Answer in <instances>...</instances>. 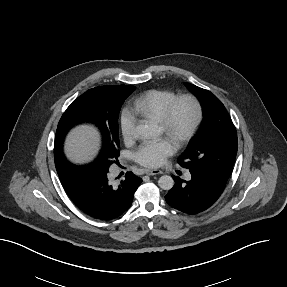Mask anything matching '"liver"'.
<instances>
[{
    "mask_svg": "<svg viewBox=\"0 0 287 287\" xmlns=\"http://www.w3.org/2000/svg\"><path fill=\"white\" fill-rule=\"evenodd\" d=\"M98 140L97 132L92 128L82 126L73 130L65 145L67 157L74 162L89 160L97 151Z\"/></svg>",
    "mask_w": 287,
    "mask_h": 287,
    "instance_id": "6515ba94",
    "label": "liver"
}]
</instances>
